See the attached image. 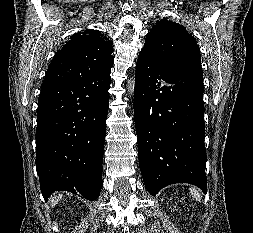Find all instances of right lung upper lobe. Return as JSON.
I'll return each mask as SVG.
<instances>
[{
  "label": "right lung upper lobe",
  "mask_w": 253,
  "mask_h": 233,
  "mask_svg": "<svg viewBox=\"0 0 253 233\" xmlns=\"http://www.w3.org/2000/svg\"><path fill=\"white\" fill-rule=\"evenodd\" d=\"M113 59L112 44L99 30L75 33L55 54L42 86L103 74L110 71Z\"/></svg>",
  "instance_id": "cb5924a9"
}]
</instances>
